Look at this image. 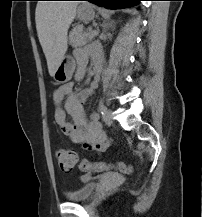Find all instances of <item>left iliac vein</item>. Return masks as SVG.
I'll list each match as a JSON object with an SVG mask.
<instances>
[{"instance_id": "left-iliac-vein-1", "label": "left iliac vein", "mask_w": 202, "mask_h": 217, "mask_svg": "<svg viewBox=\"0 0 202 217\" xmlns=\"http://www.w3.org/2000/svg\"><path fill=\"white\" fill-rule=\"evenodd\" d=\"M103 118H104V122L107 125H109V126L112 125V123H113V115H112L111 110H107Z\"/></svg>"}]
</instances>
